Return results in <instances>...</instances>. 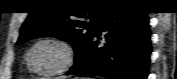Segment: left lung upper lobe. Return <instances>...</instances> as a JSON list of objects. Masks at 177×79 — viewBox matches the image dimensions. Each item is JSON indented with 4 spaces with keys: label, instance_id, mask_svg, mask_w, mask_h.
<instances>
[{
    "label": "left lung upper lobe",
    "instance_id": "obj_1",
    "mask_svg": "<svg viewBox=\"0 0 177 79\" xmlns=\"http://www.w3.org/2000/svg\"><path fill=\"white\" fill-rule=\"evenodd\" d=\"M60 2L66 1H42L35 12L29 13L28 18L21 27L20 37L16 45L37 37H57L72 44L76 61L90 42L103 10L121 1H70L85 5V7L75 8L70 12L51 10L53 7L62 4ZM86 19H90V22H87Z\"/></svg>",
    "mask_w": 177,
    "mask_h": 79
}]
</instances>
